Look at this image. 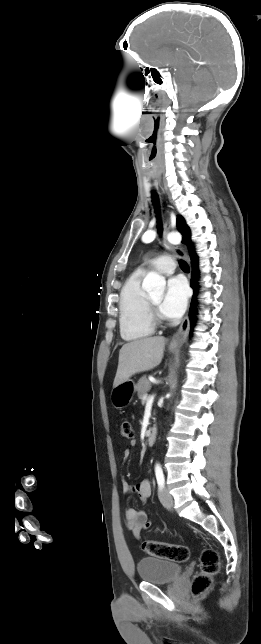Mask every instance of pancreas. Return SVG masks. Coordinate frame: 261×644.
Segmentation results:
<instances>
[{
    "label": "pancreas",
    "instance_id": "pancreas-1",
    "mask_svg": "<svg viewBox=\"0 0 261 644\" xmlns=\"http://www.w3.org/2000/svg\"><path fill=\"white\" fill-rule=\"evenodd\" d=\"M150 389H151V383L149 382V380H148L145 376H143L142 378H140V380L138 381V383H137V385H136V391L138 392V397H139V399H141V400H142V402H144V400L142 399V397H143L145 394H147V392H148Z\"/></svg>",
    "mask_w": 261,
    "mask_h": 644
}]
</instances>
